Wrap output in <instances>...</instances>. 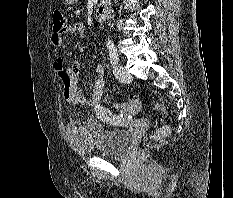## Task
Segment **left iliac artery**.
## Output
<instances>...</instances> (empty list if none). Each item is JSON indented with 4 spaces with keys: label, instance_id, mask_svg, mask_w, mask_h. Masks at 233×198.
I'll return each mask as SVG.
<instances>
[{
    "label": "left iliac artery",
    "instance_id": "44dca946",
    "mask_svg": "<svg viewBox=\"0 0 233 198\" xmlns=\"http://www.w3.org/2000/svg\"><path fill=\"white\" fill-rule=\"evenodd\" d=\"M107 48L109 50L110 61L112 65H116L119 61L118 53L114 43L111 40L107 41Z\"/></svg>",
    "mask_w": 233,
    "mask_h": 198
}]
</instances>
